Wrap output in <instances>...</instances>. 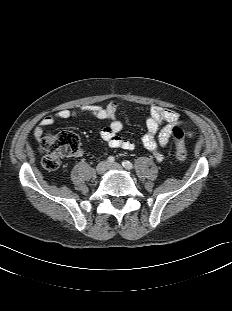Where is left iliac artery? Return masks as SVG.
<instances>
[{"label":"left iliac artery","instance_id":"1","mask_svg":"<svg viewBox=\"0 0 232 311\" xmlns=\"http://www.w3.org/2000/svg\"><path fill=\"white\" fill-rule=\"evenodd\" d=\"M122 165H123V167H125L128 170L133 168V164L131 162H129V161H123Z\"/></svg>","mask_w":232,"mask_h":311}]
</instances>
